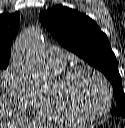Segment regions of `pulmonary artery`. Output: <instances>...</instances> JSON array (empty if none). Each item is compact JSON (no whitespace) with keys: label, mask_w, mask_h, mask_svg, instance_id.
<instances>
[{"label":"pulmonary artery","mask_w":125,"mask_h":128,"mask_svg":"<svg viewBox=\"0 0 125 128\" xmlns=\"http://www.w3.org/2000/svg\"><path fill=\"white\" fill-rule=\"evenodd\" d=\"M46 62L50 67H63L66 64V53L57 47H50L45 52Z\"/></svg>","instance_id":"pulmonary-artery-1"}]
</instances>
